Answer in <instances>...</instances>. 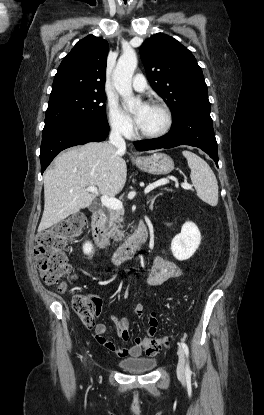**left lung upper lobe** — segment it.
Returning a JSON list of instances; mask_svg holds the SVG:
<instances>
[{"mask_svg": "<svg viewBox=\"0 0 264 415\" xmlns=\"http://www.w3.org/2000/svg\"><path fill=\"white\" fill-rule=\"evenodd\" d=\"M152 88L171 107L173 119L194 107H210L201 67L176 39L157 33L140 48Z\"/></svg>", "mask_w": 264, "mask_h": 415, "instance_id": "obj_1", "label": "left lung upper lobe"}]
</instances>
